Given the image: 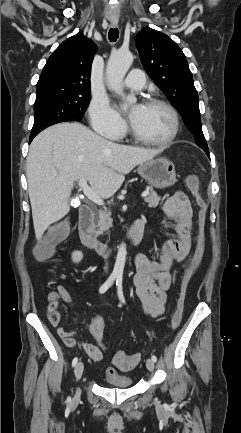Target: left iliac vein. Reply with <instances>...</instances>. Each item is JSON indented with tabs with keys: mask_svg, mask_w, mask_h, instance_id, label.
I'll return each instance as SVG.
<instances>
[{
	"mask_svg": "<svg viewBox=\"0 0 241 433\" xmlns=\"http://www.w3.org/2000/svg\"><path fill=\"white\" fill-rule=\"evenodd\" d=\"M146 367L149 371L152 372L154 370V367H155L154 361L152 359L148 358L146 360Z\"/></svg>",
	"mask_w": 241,
	"mask_h": 433,
	"instance_id": "1",
	"label": "left iliac vein"
}]
</instances>
